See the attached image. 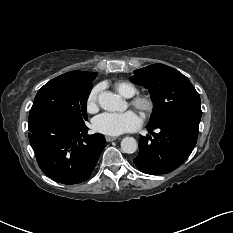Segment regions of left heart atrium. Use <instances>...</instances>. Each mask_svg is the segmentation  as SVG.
<instances>
[{"mask_svg": "<svg viewBox=\"0 0 233 233\" xmlns=\"http://www.w3.org/2000/svg\"><path fill=\"white\" fill-rule=\"evenodd\" d=\"M141 125L140 117L133 111L124 113H103L94 118L92 127L96 132L118 136L125 132L138 129Z\"/></svg>", "mask_w": 233, "mask_h": 233, "instance_id": "39dd6f15", "label": "left heart atrium"}]
</instances>
